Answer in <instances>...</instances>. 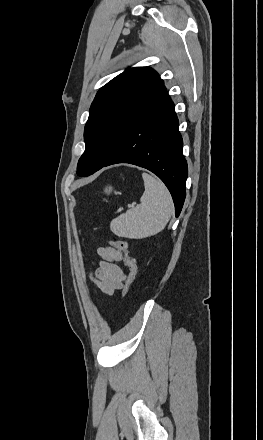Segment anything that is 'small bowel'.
I'll list each match as a JSON object with an SVG mask.
<instances>
[{"instance_id":"small-bowel-1","label":"small bowel","mask_w":263,"mask_h":440,"mask_svg":"<svg viewBox=\"0 0 263 440\" xmlns=\"http://www.w3.org/2000/svg\"><path fill=\"white\" fill-rule=\"evenodd\" d=\"M96 253L101 260L91 279L102 292L111 295L123 287L127 277L119 265L122 261V253L111 246L98 247Z\"/></svg>"}]
</instances>
